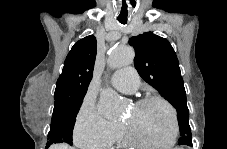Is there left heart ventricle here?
Listing matches in <instances>:
<instances>
[{"label":"left heart ventricle","instance_id":"obj_1","mask_svg":"<svg viewBox=\"0 0 227 149\" xmlns=\"http://www.w3.org/2000/svg\"><path fill=\"white\" fill-rule=\"evenodd\" d=\"M123 120L130 122L138 134L155 142H167L173 132L171 113L158 102L133 107Z\"/></svg>","mask_w":227,"mask_h":149}]
</instances>
